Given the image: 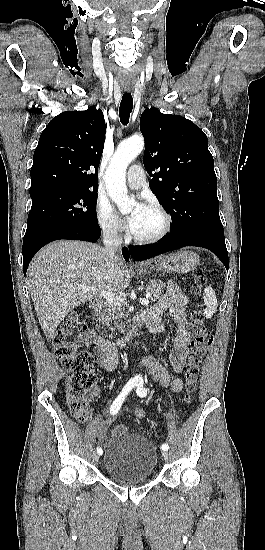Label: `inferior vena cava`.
I'll use <instances>...</instances> for the list:
<instances>
[{
    "label": "inferior vena cava",
    "instance_id": "1",
    "mask_svg": "<svg viewBox=\"0 0 265 550\" xmlns=\"http://www.w3.org/2000/svg\"><path fill=\"white\" fill-rule=\"evenodd\" d=\"M103 243L104 254L109 263H114L117 259V253L120 250L122 244V237L118 235L117 228L115 226H106L103 228Z\"/></svg>",
    "mask_w": 265,
    "mask_h": 550
}]
</instances>
